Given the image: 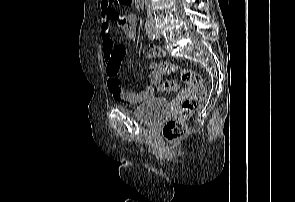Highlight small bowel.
Listing matches in <instances>:
<instances>
[{
	"label": "small bowel",
	"mask_w": 295,
	"mask_h": 202,
	"mask_svg": "<svg viewBox=\"0 0 295 202\" xmlns=\"http://www.w3.org/2000/svg\"><path fill=\"white\" fill-rule=\"evenodd\" d=\"M100 8V32L103 41V56L106 63V79L109 91L115 99L134 104L151 98L154 95L155 87L161 82L162 75H153V71H149L151 85L142 91L136 92L122 88L119 79V68L121 59L125 55V47L122 45L115 46L111 35L112 25H116L122 29L127 38L134 39L138 24L137 16L135 14L121 15L110 4L109 0H101ZM159 54L160 50L158 48L155 46L149 47V58ZM183 98H190L189 85H180L179 98H173V102H170V107H179V103H183Z\"/></svg>",
	"instance_id": "small-bowel-1"
}]
</instances>
